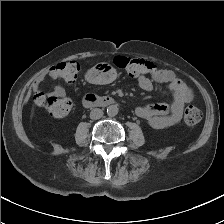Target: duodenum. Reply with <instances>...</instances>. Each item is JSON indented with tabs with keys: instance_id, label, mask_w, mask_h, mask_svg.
Here are the masks:
<instances>
[{
	"instance_id": "1",
	"label": "duodenum",
	"mask_w": 224,
	"mask_h": 224,
	"mask_svg": "<svg viewBox=\"0 0 224 224\" xmlns=\"http://www.w3.org/2000/svg\"><path fill=\"white\" fill-rule=\"evenodd\" d=\"M116 103V99L111 96H88L84 98L82 101V105L85 108H89L92 106H99V107H107L112 106Z\"/></svg>"
}]
</instances>
